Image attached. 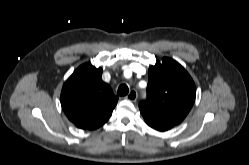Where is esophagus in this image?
I'll list each match as a JSON object with an SVG mask.
<instances>
[{
  "label": "esophagus",
  "mask_w": 249,
  "mask_h": 165,
  "mask_svg": "<svg viewBox=\"0 0 249 165\" xmlns=\"http://www.w3.org/2000/svg\"><path fill=\"white\" fill-rule=\"evenodd\" d=\"M138 94L135 90H131L129 94L126 96V99L135 102L137 100Z\"/></svg>",
  "instance_id": "obj_1"
}]
</instances>
